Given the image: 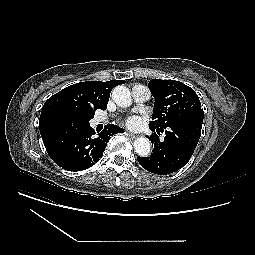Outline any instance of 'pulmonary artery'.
I'll use <instances>...</instances> for the list:
<instances>
[{"label":"pulmonary artery","instance_id":"1","mask_svg":"<svg viewBox=\"0 0 255 255\" xmlns=\"http://www.w3.org/2000/svg\"><path fill=\"white\" fill-rule=\"evenodd\" d=\"M132 98L136 103L144 102L150 98V91L146 86L137 84L132 88ZM105 120V117H98L96 119L99 123L104 122Z\"/></svg>","mask_w":255,"mask_h":255}]
</instances>
